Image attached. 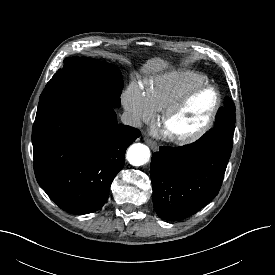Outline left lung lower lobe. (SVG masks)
<instances>
[{
  "label": "left lung lower lobe",
  "instance_id": "left-lung-lower-lobe-1",
  "mask_svg": "<svg viewBox=\"0 0 275 275\" xmlns=\"http://www.w3.org/2000/svg\"><path fill=\"white\" fill-rule=\"evenodd\" d=\"M226 111L222 107L216 121L224 119ZM234 129L215 125L192 144L161 146L153 154V203L161 219H185L218 194L232 152Z\"/></svg>",
  "mask_w": 275,
  "mask_h": 275
}]
</instances>
